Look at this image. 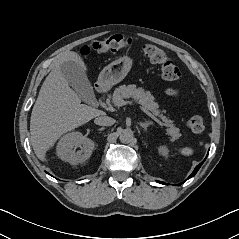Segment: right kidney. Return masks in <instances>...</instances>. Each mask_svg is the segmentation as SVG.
Returning <instances> with one entry per match:
<instances>
[{
	"mask_svg": "<svg viewBox=\"0 0 239 239\" xmlns=\"http://www.w3.org/2000/svg\"><path fill=\"white\" fill-rule=\"evenodd\" d=\"M94 142L83 136L80 132H71L64 135L56 147L57 156L72 165L84 163L88 160L94 149ZM80 150L76 151V148Z\"/></svg>",
	"mask_w": 239,
	"mask_h": 239,
	"instance_id": "1",
	"label": "right kidney"
}]
</instances>
